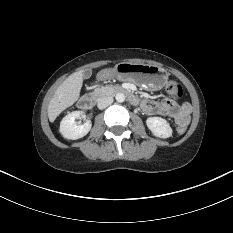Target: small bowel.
<instances>
[{
	"label": "small bowel",
	"instance_id": "small-bowel-1",
	"mask_svg": "<svg viewBox=\"0 0 233 233\" xmlns=\"http://www.w3.org/2000/svg\"><path fill=\"white\" fill-rule=\"evenodd\" d=\"M143 110L149 115L167 116L172 118L178 127H186L189 122L191 106L188 103L176 104L168 99L159 101L144 100Z\"/></svg>",
	"mask_w": 233,
	"mask_h": 233
}]
</instances>
